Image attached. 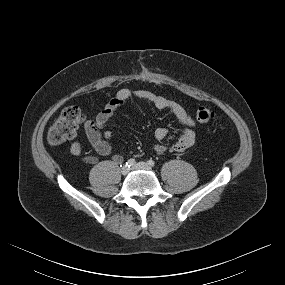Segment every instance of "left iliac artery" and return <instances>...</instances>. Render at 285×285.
<instances>
[{
	"label": "left iliac artery",
	"mask_w": 285,
	"mask_h": 285,
	"mask_svg": "<svg viewBox=\"0 0 285 285\" xmlns=\"http://www.w3.org/2000/svg\"><path fill=\"white\" fill-rule=\"evenodd\" d=\"M147 163H148V165L151 166V167L155 166V162H154L153 160H151V159L148 160Z\"/></svg>",
	"instance_id": "44dca946"
}]
</instances>
